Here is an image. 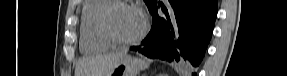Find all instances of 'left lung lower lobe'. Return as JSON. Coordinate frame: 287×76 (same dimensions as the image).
Masks as SVG:
<instances>
[{"label": "left lung lower lobe", "mask_w": 287, "mask_h": 76, "mask_svg": "<svg viewBox=\"0 0 287 76\" xmlns=\"http://www.w3.org/2000/svg\"><path fill=\"white\" fill-rule=\"evenodd\" d=\"M172 9L157 14L160 4L149 10L152 27L138 50L150 58L197 68L205 55L217 16V0H169ZM193 76H196L194 73Z\"/></svg>", "instance_id": "obj_1"}]
</instances>
